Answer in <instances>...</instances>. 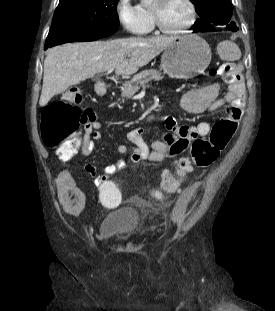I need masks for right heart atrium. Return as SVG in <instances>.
<instances>
[{
    "instance_id": "obj_1",
    "label": "right heart atrium",
    "mask_w": 275,
    "mask_h": 311,
    "mask_svg": "<svg viewBox=\"0 0 275 311\" xmlns=\"http://www.w3.org/2000/svg\"><path fill=\"white\" fill-rule=\"evenodd\" d=\"M114 9L117 20L125 31L134 35H140L147 31L148 19L132 0H117Z\"/></svg>"
}]
</instances>
